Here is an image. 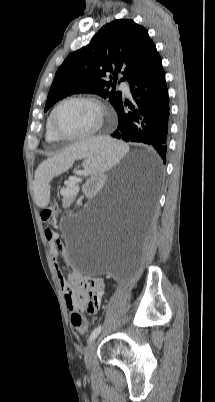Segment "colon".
Instances as JSON below:
<instances>
[{
	"mask_svg": "<svg viewBox=\"0 0 215 402\" xmlns=\"http://www.w3.org/2000/svg\"><path fill=\"white\" fill-rule=\"evenodd\" d=\"M56 214H57V207L53 206L49 209L43 210L41 216L44 221H50L55 217ZM94 310L95 307L92 304H90L88 307V311L92 313L94 312ZM71 323L74 329L77 330L79 333L83 334L86 332L87 330L86 321L79 312L74 311L71 314Z\"/></svg>",
	"mask_w": 215,
	"mask_h": 402,
	"instance_id": "obj_1",
	"label": "colon"
}]
</instances>
